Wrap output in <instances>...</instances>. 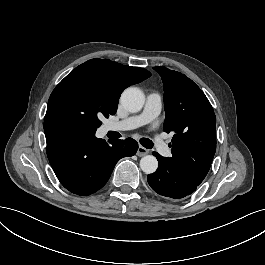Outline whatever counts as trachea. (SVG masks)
Instances as JSON below:
<instances>
[{"mask_svg": "<svg viewBox=\"0 0 265 265\" xmlns=\"http://www.w3.org/2000/svg\"><path fill=\"white\" fill-rule=\"evenodd\" d=\"M139 142L141 143L142 146L148 149L152 148L153 146V142L148 138H141Z\"/></svg>", "mask_w": 265, "mask_h": 265, "instance_id": "3493384b", "label": "trachea"}]
</instances>
